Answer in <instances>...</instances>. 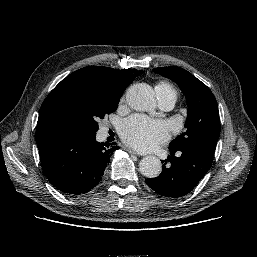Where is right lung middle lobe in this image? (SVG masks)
Returning <instances> with one entry per match:
<instances>
[{"mask_svg":"<svg viewBox=\"0 0 257 257\" xmlns=\"http://www.w3.org/2000/svg\"><path fill=\"white\" fill-rule=\"evenodd\" d=\"M134 76L142 71L134 70ZM121 94L100 91L88 83L71 86L62 101V110L73 133L96 134L98 121L114 112Z\"/></svg>","mask_w":257,"mask_h":257,"instance_id":"dd1d6c3e","label":"right lung middle lobe"}]
</instances>
